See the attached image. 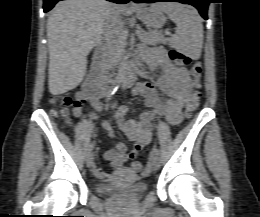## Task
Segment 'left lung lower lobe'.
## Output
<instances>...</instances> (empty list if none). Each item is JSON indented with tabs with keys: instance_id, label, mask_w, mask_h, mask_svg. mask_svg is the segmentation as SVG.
Listing matches in <instances>:
<instances>
[{
	"instance_id": "left-lung-lower-lobe-1",
	"label": "left lung lower lobe",
	"mask_w": 260,
	"mask_h": 217,
	"mask_svg": "<svg viewBox=\"0 0 260 217\" xmlns=\"http://www.w3.org/2000/svg\"><path fill=\"white\" fill-rule=\"evenodd\" d=\"M136 3H154V2H180L195 6L201 16L207 20V8L210 0H132Z\"/></svg>"
}]
</instances>
